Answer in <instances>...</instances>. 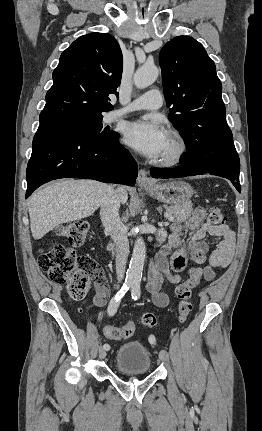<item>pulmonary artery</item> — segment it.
<instances>
[{
    "instance_id": "pulmonary-artery-1",
    "label": "pulmonary artery",
    "mask_w": 262,
    "mask_h": 431,
    "mask_svg": "<svg viewBox=\"0 0 262 431\" xmlns=\"http://www.w3.org/2000/svg\"><path fill=\"white\" fill-rule=\"evenodd\" d=\"M163 99L158 90H150L120 110L114 111L110 115V119L114 120L126 114L140 110H155L162 106Z\"/></svg>"
}]
</instances>
